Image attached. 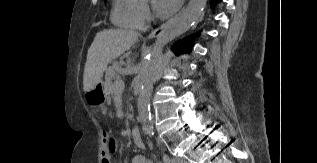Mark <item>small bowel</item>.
<instances>
[{
	"label": "small bowel",
	"instance_id": "c3829d8e",
	"mask_svg": "<svg viewBox=\"0 0 317 163\" xmlns=\"http://www.w3.org/2000/svg\"><path fill=\"white\" fill-rule=\"evenodd\" d=\"M109 135L108 131H103V141L106 142L107 136ZM101 163H111L110 155L108 152L103 151L100 156ZM132 163H153L152 160L146 158L143 155H137L132 159Z\"/></svg>",
	"mask_w": 317,
	"mask_h": 163
}]
</instances>
